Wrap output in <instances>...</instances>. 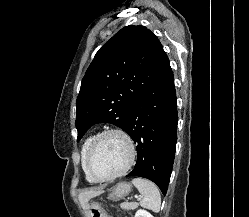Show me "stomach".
<instances>
[{
    "mask_svg": "<svg viewBox=\"0 0 249 217\" xmlns=\"http://www.w3.org/2000/svg\"><path fill=\"white\" fill-rule=\"evenodd\" d=\"M131 188L132 186L130 183L127 182L118 183L112 190L111 198L115 201H118L127 196L130 193Z\"/></svg>",
    "mask_w": 249,
    "mask_h": 217,
    "instance_id": "obj_1",
    "label": "stomach"
}]
</instances>
